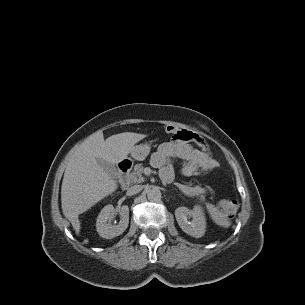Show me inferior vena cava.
Masks as SVG:
<instances>
[{
  "instance_id": "obj_1",
  "label": "inferior vena cava",
  "mask_w": 305,
  "mask_h": 305,
  "mask_svg": "<svg viewBox=\"0 0 305 305\" xmlns=\"http://www.w3.org/2000/svg\"><path fill=\"white\" fill-rule=\"evenodd\" d=\"M141 190H142V186H141V185H134V186H131V187L127 190L126 194H127L128 196H132V195H134V194L139 193Z\"/></svg>"
}]
</instances>
